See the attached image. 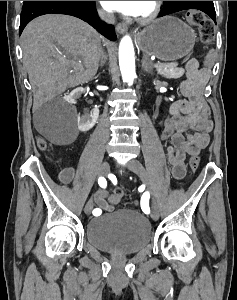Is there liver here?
I'll return each instance as SVG.
<instances>
[{"instance_id": "1", "label": "liver", "mask_w": 237, "mask_h": 300, "mask_svg": "<svg viewBox=\"0 0 237 300\" xmlns=\"http://www.w3.org/2000/svg\"><path fill=\"white\" fill-rule=\"evenodd\" d=\"M23 65L33 85L34 103L59 95L67 87L96 75L103 37L76 17L43 15L25 27L21 37Z\"/></svg>"}]
</instances>
